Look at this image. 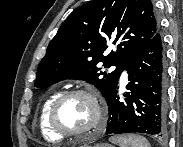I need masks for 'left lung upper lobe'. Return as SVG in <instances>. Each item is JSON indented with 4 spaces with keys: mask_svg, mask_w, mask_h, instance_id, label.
<instances>
[{
    "mask_svg": "<svg viewBox=\"0 0 183 147\" xmlns=\"http://www.w3.org/2000/svg\"><path fill=\"white\" fill-rule=\"evenodd\" d=\"M158 28L150 0L90 1L68 16L49 43L34 86L43 89L65 79L85 80L107 101L126 60ZM107 43L116 48L104 56ZM112 66L114 71H103Z\"/></svg>",
    "mask_w": 183,
    "mask_h": 147,
    "instance_id": "1",
    "label": "left lung upper lobe"
}]
</instances>
